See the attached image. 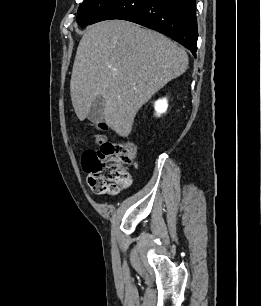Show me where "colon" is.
Wrapping results in <instances>:
<instances>
[{
	"instance_id": "colon-1",
	"label": "colon",
	"mask_w": 261,
	"mask_h": 306,
	"mask_svg": "<svg viewBox=\"0 0 261 306\" xmlns=\"http://www.w3.org/2000/svg\"><path fill=\"white\" fill-rule=\"evenodd\" d=\"M104 130V124H98ZM97 150H87L82 156L84 170L88 173V184L95 193L126 187L131 178L128 166L132 164L136 147L131 142L114 143L107 141L102 134L96 136Z\"/></svg>"
}]
</instances>
